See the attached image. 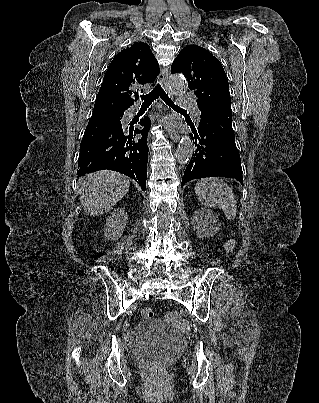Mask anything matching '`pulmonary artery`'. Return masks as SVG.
<instances>
[{"mask_svg": "<svg viewBox=\"0 0 319 403\" xmlns=\"http://www.w3.org/2000/svg\"><path fill=\"white\" fill-rule=\"evenodd\" d=\"M179 105L181 107H184V108L194 107L195 102H194V99H193L192 95L189 94V93L180 94V103H179ZM135 110H136V108L134 109V111ZM195 119H196L197 122L200 121V111L199 110L195 111Z\"/></svg>", "mask_w": 319, "mask_h": 403, "instance_id": "obj_1", "label": "pulmonary artery"}]
</instances>
